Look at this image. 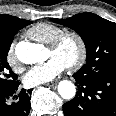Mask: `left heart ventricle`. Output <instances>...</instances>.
Here are the masks:
<instances>
[{"mask_svg":"<svg viewBox=\"0 0 116 116\" xmlns=\"http://www.w3.org/2000/svg\"><path fill=\"white\" fill-rule=\"evenodd\" d=\"M78 45L73 38L64 41L58 50L48 49V57L57 56L61 58L67 65L73 62L78 56Z\"/></svg>","mask_w":116,"mask_h":116,"instance_id":"left-heart-ventricle-1","label":"left heart ventricle"}]
</instances>
